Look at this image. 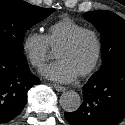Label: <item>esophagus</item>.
<instances>
[{
  "label": "esophagus",
  "mask_w": 125,
  "mask_h": 125,
  "mask_svg": "<svg viewBox=\"0 0 125 125\" xmlns=\"http://www.w3.org/2000/svg\"><path fill=\"white\" fill-rule=\"evenodd\" d=\"M53 88L58 92H64L66 90V88L64 86H61L58 84H53Z\"/></svg>",
  "instance_id": "34e87169"
}]
</instances>
